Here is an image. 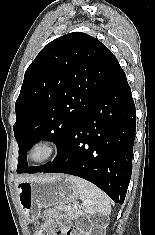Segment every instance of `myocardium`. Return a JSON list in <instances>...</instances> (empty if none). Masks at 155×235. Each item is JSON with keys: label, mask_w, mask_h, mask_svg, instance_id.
Instances as JSON below:
<instances>
[{"label": "myocardium", "mask_w": 155, "mask_h": 235, "mask_svg": "<svg viewBox=\"0 0 155 235\" xmlns=\"http://www.w3.org/2000/svg\"><path fill=\"white\" fill-rule=\"evenodd\" d=\"M40 148L45 150V155L42 158L37 159L34 157V152ZM61 149L62 144L59 139L55 137H45L35 141L30 146L27 157L33 163L44 164L56 158L60 154Z\"/></svg>", "instance_id": "f54148a6"}]
</instances>
